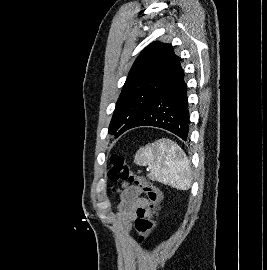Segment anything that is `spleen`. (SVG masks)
I'll return each instance as SVG.
<instances>
[{
  "label": "spleen",
  "instance_id": "3e777b00",
  "mask_svg": "<svg viewBox=\"0 0 267 270\" xmlns=\"http://www.w3.org/2000/svg\"><path fill=\"white\" fill-rule=\"evenodd\" d=\"M140 166H150L148 177L180 190L191 186L190 162L183 150L172 140L162 138L140 148L134 157Z\"/></svg>",
  "mask_w": 267,
  "mask_h": 270
}]
</instances>
